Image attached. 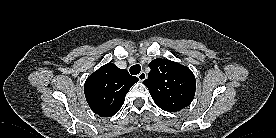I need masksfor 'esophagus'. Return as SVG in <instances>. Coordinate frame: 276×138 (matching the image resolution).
I'll return each instance as SVG.
<instances>
[{"label": "esophagus", "mask_w": 276, "mask_h": 138, "mask_svg": "<svg viewBox=\"0 0 276 138\" xmlns=\"http://www.w3.org/2000/svg\"><path fill=\"white\" fill-rule=\"evenodd\" d=\"M138 78H139L140 81H144L147 78V74L144 71H141L138 74Z\"/></svg>", "instance_id": "obj_1"}]
</instances>
